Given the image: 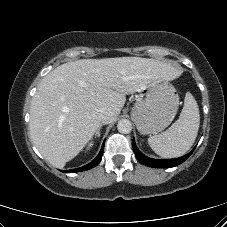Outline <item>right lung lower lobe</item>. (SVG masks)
I'll list each match as a JSON object with an SVG mask.
<instances>
[{
    "mask_svg": "<svg viewBox=\"0 0 227 227\" xmlns=\"http://www.w3.org/2000/svg\"><path fill=\"white\" fill-rule=\"evenodd\" d=\"M103 150H104V143L102 145V148H101L98 156L92 162H90L89 164H87V165H85L83 167L76 168V169H71V170H66L64 172H66V173H74V172L85 171V170H88V169H91V168L95 167L100 162V160L102 158Z\"/></svg>",
    "mask_w": 227,
    "mask_h": 227,
    "instance_id": "98d812e1",
    "label": "right lung lower lobe"
}]
</instances>
